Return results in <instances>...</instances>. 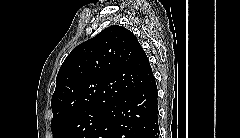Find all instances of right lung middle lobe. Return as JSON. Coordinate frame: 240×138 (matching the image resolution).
Returning <instances> with one entry per match:
<instances>
[{
	"instance_id": "1",
	"label": "right lung middle lobe",
	"mask_w": 240,
	"mask_h": 138,
	"mask_svg": "<svg viewBox=\"0 0 240 138\" xmlns=\"http://www.w3.org/2000/svg\"><path fill=\"white\" fill-rule=\"evenodd\" d=\"M107 108H90L51 122L53 138H90Z\"/></svg>"
}]
</instances>
